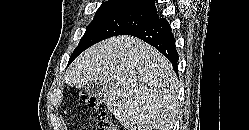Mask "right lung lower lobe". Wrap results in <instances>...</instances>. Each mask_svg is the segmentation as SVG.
Segmentation results:
<instances>
[{"mask_svg": "<svg viewBox=\"0 0 249 130\" xmlns=\"http://www.w3.org/2000/svg\"><path fill=\"white\" fill-rule=\"evenodd\" d=\"M137 37L158 49L172 63L177 71L179 59L175 48V39L165 18H157L152 22L125 33Z\"/></svg>", "mask_w": 249, "mask_h": 130, "instance_id": "right-lung-lower-lobe-1", "label": "right lung lower lobe"}]
</instances>
